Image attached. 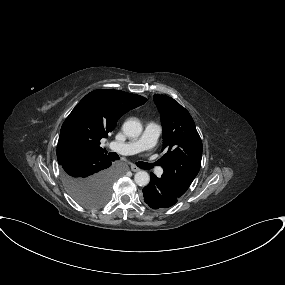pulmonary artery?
<instances>
[{"label":"pulmonary artery","mask_w":285,"mask_h":285,"mask_svg":"<svg viewBox=\"0 0 285 285\" xmlns=\"http://www.w3.org/2000/svg\"><path fill=\"white\" fill-rule=\"evenodd\" d=\"M161 132V126L156 122L150 121L145 125L144 132L140 138L127 142H110L108 143V146L120 154H134L153 147ZM162 173V168L158 167L156 169V174L161 175Z\"/></svg>","instance_id":"obj_1"}]
</instances>
